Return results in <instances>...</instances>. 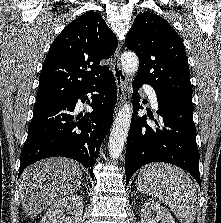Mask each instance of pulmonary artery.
I'll return each mask as SVG.
<instances>
[{
    "mask_svg": "<svg viewBox=\"0 0 221 223\" xmlns=\"http://www.w3.org/2000/svg\"><path fill=\"white\" fill-rule=\"evenodd\" d=\"M145 93L147 94V96L150 100L151 106L157 110L158 109V101H157V95H156L155 90L152 87L147 86V87H145Z\"/></svg>",
    "mask_w": 221,
    "mask_h": 223,
    "instance_id": "1",
    "label": "pulmonary artery"
}]
</instances>
